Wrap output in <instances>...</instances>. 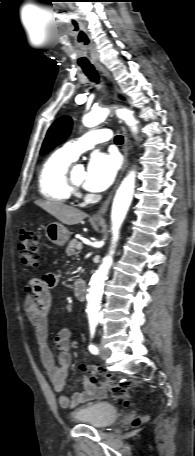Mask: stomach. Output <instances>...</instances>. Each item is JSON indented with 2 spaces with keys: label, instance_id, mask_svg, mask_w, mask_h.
Segmentation results:
<instances>
[{
  "label": "stomach",
  "instance_id": "stomach-1",
  "mask_svg": "<svg viewBox=\"0 0 195 456\" xmlns=\"http://www.w3.org/2000/svg\"><path fill=\"white\" fill-rule=\"evenodd\" d=\"M46 237L55 245L63 246L70 238L69 230L58 222H52L45 229Z\"/></svg>",
  "mask_w": 195,
  "mask_h": 456
}]
</instances>
